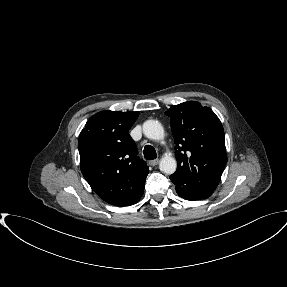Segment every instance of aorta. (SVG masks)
<instances>
[{"mask_svg":"<svg viewBox=\"0 0 287 287\" xmlns=\"http://www.w3.org/2000/svg\"><path fill=\"white\" fill-rule=\"evenodd\" d=\"M144 135L152 140H161L164 138V129L157 120H147L143 124ZM160 170L165 174H173L177 168L175 158L170 155H165L161 158L159 163Z\"/></svg>","mask_w":287,"mask_h":287,"instance_id":"1","label":"aorta"}]
</instances>
